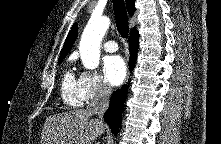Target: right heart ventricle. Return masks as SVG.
Returning a JSON list of instances; mask_svg holds the SVG:
<instances>
[{
	"mask_svg": "<svg viewBox=\"0 0 221 144\" xmlns=\"http://www.w3.org/2000/svg\"><path fill=\"white\" fill-rule=\"evenodd\" d=\"M61 98L69 107H80L83 104V99L80 93L79 78H76L71 69H67L61 81Z\"/></svg>",
	"mask_w": 221,
	"mask_h": 144,
	"instance_id": "e07e8e85",
	"label": "right heart ventricle"
}]
</instances>
